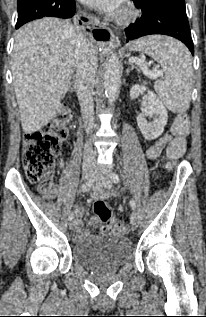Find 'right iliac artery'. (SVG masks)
Wrapping results in <instances>:
<instances>
[{"label": "right iliac artery", "mask_w": 206, "mask_h": 317, "mask_svg": "<svg viewBox=\"0 0 206 317\" xmlns=\"http://www.w3.org/2000/svg\"><path fill=\"white\" fill-rule=\"evenodd\" d=\"M93 186V180H89L87 182H85L83 185H82V192H87L91 189V187ZM69 219L70 220H73L74 219V214L73 213H70L69 215Z\"/></svg>", "instance_id": "obj_1"}]
</instances>
